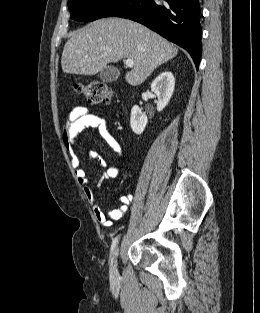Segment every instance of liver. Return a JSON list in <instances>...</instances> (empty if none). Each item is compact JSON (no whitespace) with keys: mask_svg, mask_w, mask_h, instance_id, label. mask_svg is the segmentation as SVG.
Instances as JSON below:
<instances>
[{"mask_svg":"<svg viewBox=\"0 0 260 313\" xmlns=\"http://www.w3.org/2000/svg\"><path fill=\"white\" fill-rule=\"evenodd\" d=\"M177 53L173 44L137 22L107 18L72 34L64 46L61 66L64 73L94 75L109 63L132 59L134 66L126 73L125 80L138 86Z\"/></svg>","mask_w":260,"mask_h":313,"instance_id":"obj_1","label":"liver"}]
</instances>
